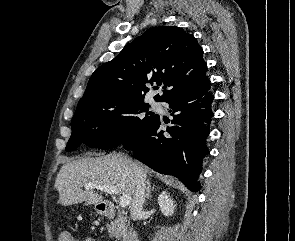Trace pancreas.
<instances>
[{"label": "pancreas", "instance_id": "cf45deb5", "mask_svg": "<svg viewBox=\"0 0 295 241\" xmlns=\"http://www.w3.org/2000/svg\"><path fill=\"white\" fill-rule=\"evenodd\" d=\"M107 227L110 236L115 237L118 240L126 236L128 233L127 219L122 215H118Z\"/></svg>", "mask_w": 295, "mask_h": 241}]
</instances>
